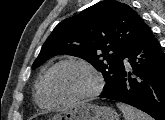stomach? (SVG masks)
I'll list each match as a JSON object with an SVG mask.
<instances>
[{
  "label": "stomach",
  "instance_id": "obj_1",
  "mask_svg": "<svg viewBox=\"0 0 165 120\" xmlns=\"http://www.w3.org/2000/svg\"><path fill=\"white\" fill-rule=\"evenodd\" d=\"M52 120H119V116L111 107L79 103L56 114Z\"/></svg>",
  "mask_w": 165,
  "mask_h": 120
}]
</instances>
